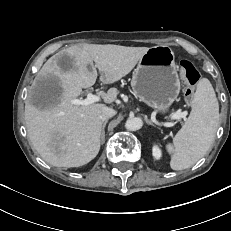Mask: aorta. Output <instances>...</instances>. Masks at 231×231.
Wrapping results in <instances>:
<instances>
[{"mask_svg": "<svg viewBox=\"0 0 231 231\" xmlns=\"http://www.w3.org/2000/svg\"><path fill=\"white\" fill-rule=\"evenodd\" d=\"M142 125H143V121L139 117L128 118L125 123L126 129L129 131H137L142 127Z\"/></svg>", "mask_w": 231, "mask_h": 231, "instance_id": "aorta-1", "label": "aorta"}]
</instances>
